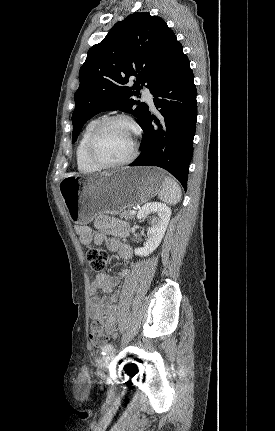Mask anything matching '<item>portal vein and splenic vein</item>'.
<instances>
[{"mask_svg":"<svg viewBox=\"0 0 275 431\" xmlns=\"http://www.w3.org/2000/svg\"><path fill=\"white\" fill-rule=\"evenodd\" d=\"M129 213H130L131 215H135V214H136V211H135V210H130V211H129Z\"/></svg>","mask_w":275,"mask_h":431,"instance_id":"obj_1","label":"portal vein and splenic vein"}]
</instances>
